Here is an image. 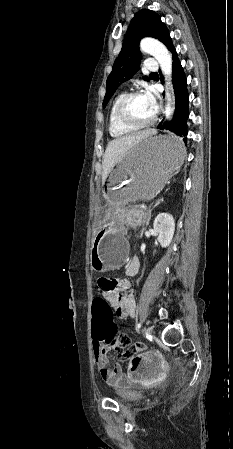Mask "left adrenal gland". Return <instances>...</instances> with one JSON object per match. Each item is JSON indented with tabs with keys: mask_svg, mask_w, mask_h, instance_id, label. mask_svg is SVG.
<instances>
[{
	"mask_svg": "<svg viewBox=\"0 0 233 449\" xmlns=\"http://www.w3.org/2000/svg\"><path fill=\"white\" fill-rule=\"evenodd\" d=\"M161 202H163V199L158 200L152 208H149V209H148V212H147V213H148L147 224H148L149 221H150L152 209H153L154 207L158 206Z\"/></svg>",
	"mask_w": 233,
	"mask_h": 449,
	"instance_id": "a2214340",
	"label": "left adrenal gland"
}]
</instances>
